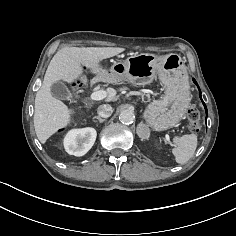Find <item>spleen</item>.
Masks as SVG:
<instances>
[{
    "label": "spleen",
    "mask_w": 236,
    "mask_h": 236,
    "mask_svg": "<svg viewBox=\"0 0 236 236\" xmlns=\"http://www.w3.org/2000/svg\"><path fill=\"white\" fill-rule=\"evenodd\" d=\"M173 140L176 144L172 150L175 161L179 164L186 163L197 148V136L195 134H186L181 137H174Z\"/></svg>",
    "instance_id": "spleen-1"
}]
</instances>
